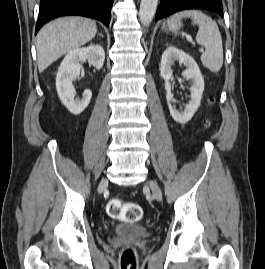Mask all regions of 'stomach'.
I'll list each match as a JSON object with an SVG mask.
<instances>
[{"label": "stomach", "instance_id": "stomach-1", "mask_svg": "<svg viewBox=\"0 0 265 269\" xmlns=\"http://www.w3.org/2000/svg\"><path fill=\"white\" fill-rule=\"evenodd\" d=\"M163 29H164V30H166V29H167L165 25H163Z\"/></svg>", "mask_w": 265, "mask_h": 269}]
</instances>
